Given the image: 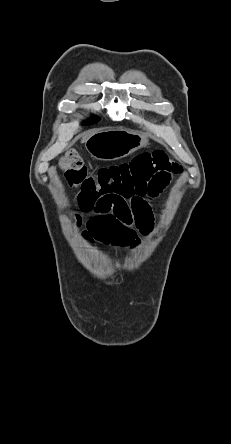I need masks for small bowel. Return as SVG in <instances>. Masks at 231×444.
Segmentation results:
<instances>
[{"mask_svg":"<svg viewBox=\"0 0 231 444\" xmlns=\"http://www.w3.org/2000/svg\"><path fill=\"white\" fill-rule=\"evenodd\" d=\"M164 186L161 182L153 183L152 196L158 194ZM79 207L82 212L93 213L83 229V235L91 242L118 247L132 246L138 243L139 234H149L154 226V215L144 199L137 210H133L126 200L113 196L81 197ZM77 219L81 223L80 217Z\"/></svg>","mask_w":231,"mask_h":444,"instance_id":"c3829d8e","label":"small bowel"}]
</instances>
